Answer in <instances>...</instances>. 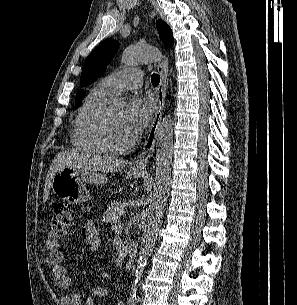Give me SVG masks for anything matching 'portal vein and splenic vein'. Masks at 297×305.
Instances as JSON below:
<instances>
[{
	"label": "portal vein and splenic vein",
	"mask_w": 297,
	"mask_h": 305,
	"mask_svg": "<svg viewBox=\"0 0 297 305\" xmlns=\"http://www.w3.org/2000/svg\"><path fill=\"white\" fill-rule=\"evenodd\" d=\"M121 227H122V225L120 224V225H119V228H121Z\"/></svg>",
	"instance_id": "obj_1"
}]
</instances>
